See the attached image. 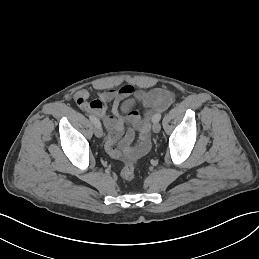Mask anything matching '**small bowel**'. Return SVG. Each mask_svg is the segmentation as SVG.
Returning <instances> with one entry per match:
<instances>
[{
    "label": "small bowel",
    "mask_w": 259,
    "mask_h": 259,
    "mask_svg": "<svg viewBox=\"0 0 259 259\" xmlns=\"http://www.w3.org/2000/svg\"><path fill=\"white\" fill-rule=\"evenodd\" d=\"M97 90L96 98H91L87 90H79L74 99L81 110L100 119L109 130L106 151L116 159H133L146 154L150 148L153 115L169 107L174 98L173 93L160 88L148 92L135 90L129 84L117 89L98 86ZM138 103L145 108L143 115L134 110ZM109 105L111 115L107 113ZM126 124L129 128L124 134Z\"/></svg>",
    "instance_id": "1"
}]
</instances>
